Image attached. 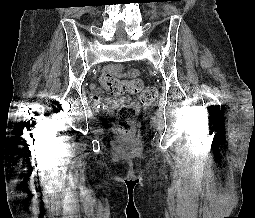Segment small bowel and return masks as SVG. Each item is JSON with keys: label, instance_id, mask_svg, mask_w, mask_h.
Masks as SVG:
<instances>
[{"label": "small bowel", "instance_id": "obj_1", "mask_svg": "<svg viewBox=\"0 0 255 218\" xmlns=\"http://www.w3.org/2000/svg\"><path fill=\"white\" fill-rule=\"evenodd\" d=\"M103 76H109V77L128 76L130 78H135L138 76V71L135 69H132L128 73H124L123 69L120 65H110L105 69ZM94 99L96 101L101 100V95L99 94V92L96 89H94ZM108 102L111 104H118V103H120V100H116V101L109 100Z\"/></svg>", "mask_w": 255, "mask_h": 218}]
</instances>
